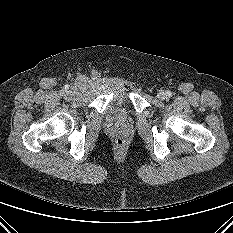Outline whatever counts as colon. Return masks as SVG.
Segmentation results:
<instances>
[{
	"label": "colon",
	"mask_w": 233,
	"mask_h": 233,
	"mask_svg": "<svg viewBox=\"0 0 233 233\" xmlns=\"http://www.w3.org/2000/svg\"><path fill=\"white\" fill-rule=\"evenodd\" d=\"M115 144L118 148H122L124 147L125 145V140L122 138V137H118L116 140H115Z\"/></svg>",
	"instance_id": "obj_1"
}]
</instances>
